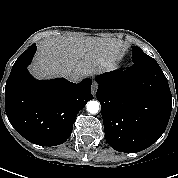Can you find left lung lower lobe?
<instances>
[{"instance_id": "obj_1", "label": "left lung lower lobe", "mask_w": 178, "mask_h": 178, "mask_svg": "<svg viewBox=\"0 0 178 178\" xmlns=\"http://www.w3.org/2000/svg\"><path fill=\"white\" fill-rule=\"evenodd\" d=\"M107 143L120 152H140L164 133L172 109L168 81L155 59L96 77Z\"/></svg>"}]
</instances>
